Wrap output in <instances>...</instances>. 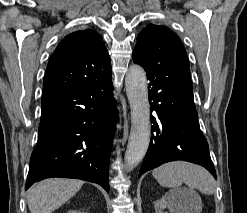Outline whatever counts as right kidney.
I'll list each match as a JSON object with an SVG mask.
<instances>
[{
    "label": "right kidney",
    "mask_w": 247,
    "mask_h": 213,
    "mask_svg": "<svg viewBox=\"0 0 247 213\" xmlns=\"http://www.w3.org/2000/svg\"><path fill=\"white\" fill-rule=\"evenodd\" d=\"M67 213H84V212L77 211V210H70V211H68Z\"/></svg>",
    "instance_id": "1"
}]
</instances>
